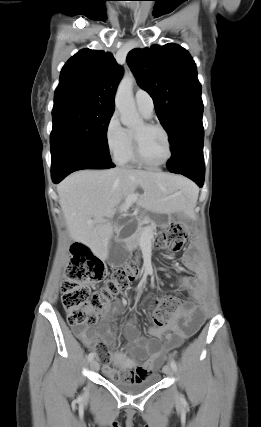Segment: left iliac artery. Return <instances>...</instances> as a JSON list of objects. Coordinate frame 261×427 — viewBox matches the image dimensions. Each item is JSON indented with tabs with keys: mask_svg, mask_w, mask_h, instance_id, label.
I'll return each instance as SVG.
<instances>
[{
	"mask_svg": "<svg viewBox=\"0 0 261 427\" xmlns=\"http://www.w3.org/2000/svg\"><path fill=\"white\" fill-rule=\"evenodd\" d=\"M170 366H171V368H172L174 371H176V370H177V365H176V362H175L174 360H171V362H170Z\"/></svg>",
	"mask_w": 261,
	"mask_h": 427,
	"instance_id": "1",
	"label": "left iliac artery"
}]
</instances>
